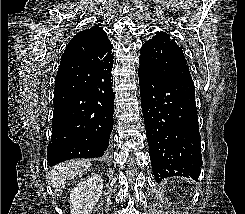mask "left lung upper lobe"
Listing matches in <instances>:
<instances>
[{
    "instance_id": "5c2ea615",
    "label": "left lung upper lobe",
    "mask_w": 245,
    "mask_h": 214,
    "mask_svg": "<svg viewBox=\"0 0 245 214\" xmlns=\"http://www.w3.org/2000/svg\"><path fill=\"white\" fill-rule=\"evenodd\" d=\"M139 68L156 76L193 82L184 53L169 34L158 32L141 48Z\"/></svg>"
}]
</instances>
